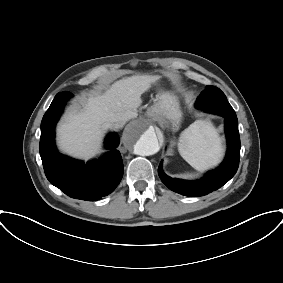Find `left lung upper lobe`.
Masks as SVG:
<instances>
[{
    "mask_svg": "<svg viewBox=\"0 0 283 283\" xmlns=\"http://www.w3.org/2000/svg\"><path fill=\"white\" fill-rule=\"evenodd\" d=\"M205 94L212 100H226L225 94L215 86H207L204 90Z\"/></svg>",
    "mask_w": 283,
    "mask_h": 283,
    "instance_id": "5c2ea615",
    "label": "left lung upper lobe"
}]
</instances>
